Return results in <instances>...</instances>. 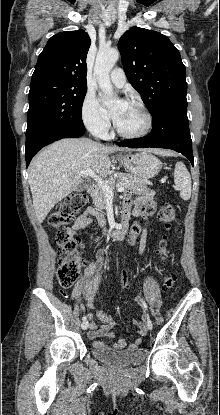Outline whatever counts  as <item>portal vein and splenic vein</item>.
I'll list each match as a JSON object with an SVG mask.
<instances>
[{"mask_svg":"<svg viewBox=\"0 0 220 415\" xmlns=\"http://www.w3.org/2000/svg\"><path fill=\"white\" fill-rule=\"evenodd\" d=\"M80 175H86L93 178L103 189L106 197H113V188L108 184L107 181H104L101 177H99L92 169L87 168L86 170L80 171ZM125 188L121 185H117V191L123 192Z\"/></svg>","mask_w":220,"mask_h":415,"instance_id":"obj_1","label":"portal vein and splenic vein"}]
</instances>
